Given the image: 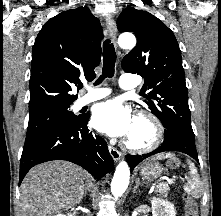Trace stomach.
Listing matches in <instances>:
<instances>
[{
  "mask_svg": "<svg viewBox=\"0 0 221 216\" xmlns=\"http://www.w3.org/2000/svg\"><path fill=\"white\" fill-rule=\"evenodd\" d=\"M163 172V167L158 162L152 161L145 163L140 168V174L143 179L147 181H153L161 176Z\"/></svg>",
  "mask_w": 221,
  "mask_h": 216,
  "instance_id": "obj_1",
  "label": "stomach"
}]
</instances>
